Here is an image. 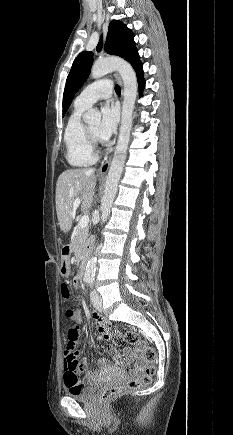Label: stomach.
Listing matches in <instances>:
<instances>
[{
	"label": "stomach",
	"mask_w": 233,
	"mask_h": 435,
	"mask_svg": "<svg viewBox=\"0 0 233 435\" xmlns=\"http://www.w3.org/2000/svg\"><path fill=\"white\" fill-rule=\"evenodd\" d=\"M59 272L63 277H68L70 275V262L68 259H62Z\"/></svg>",
	"instance_id": "stomach-1"
}]
</instances>
